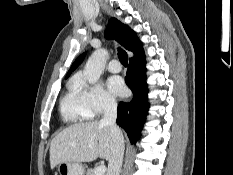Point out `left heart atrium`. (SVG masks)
<instances>
[{
    "label": "left heart atrium",
    "instance_id": "obj_1",
    "mask_svg": "<svg viewBox=\"0 0 233 175\" xmlns=\"http://www.w3.org/2000/svg\"><path fill=\"white\" fill-rule=\"evenodd\" d=\"M110 91L119 97H124L127 93V88L124 82L117 77H112L108 81Z\"/></svg>",
    "mask_w": 233,
    "mask_h": 175
}]
</instances>
